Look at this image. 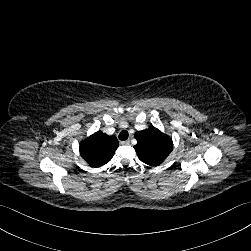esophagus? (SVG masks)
<instances>
[{
	"label": "esophagus",
	"instance_id": "34e87169",
	"mask_svg": "<svg viewBox=\"0 0 251 251\" xmlns=\"http://www.w3.org/2000/svg\"><path fill=\"white\" fill-rule=\"evenodd\" d=\"M120 144H122V145H128V144H130V140L121 141Z\"/></svg>",
	"mask_w": 251,
	"mask_h": 251
}]
</instances>
